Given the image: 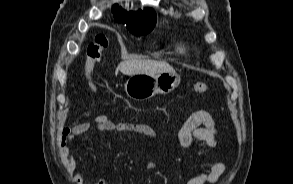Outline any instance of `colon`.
Wrapping results in <instances>:
<instances>
[{"label": "colon", "instance_id": "colon-1", "mask_svg": "<svg viewBox=\"0 0 293 184\" xmlns=\"http://www.w3.org/2000/svg\"><path fill=\"white\" fill-rule=\"evenodd\" d=\"M109 40L105 35H97L86 50L85 75L91 90L98 95V87L94 81V67L100 60L102 53L107 49ZM209 86L204 82H197L192 87V94L205 93Z\"/></svg>", "mask_w": 293, "mask_h": 184}]
</instances>
